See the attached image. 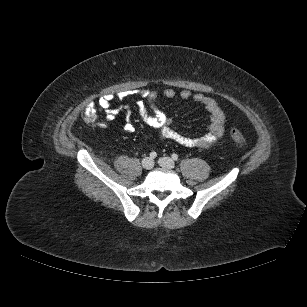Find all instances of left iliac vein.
I'll use <instances>...</instances> for the list:
<instances>
[{"label":"left iliac vein","instance_id":"1","mask_svg":"<svg viewBox=\"0 0 307 307\" xmlns=\"http://www.w3.org/2000/svg\"><path fill=\"white\" fill-rule=\"evenodd\" d=\"M158 162L162 167L167 169H172L175 167V162L169 157H162Z\"/></svg>","mask_w":307,"mask_h":307}]
</instances>
